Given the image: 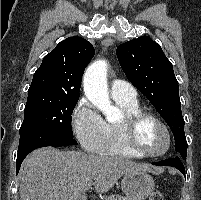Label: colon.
<instances>
[{
	"label": "colon",
	"instance_id": "colon-1",
	"mask_svg": "<svg viewBox=\"0 0 201 200\" xmlns=\"http://www.w3.org/2000/svg\"><path fill=\"white\" fill-rule=\"evenodd\" d=\"M150 200H165V195L162 191H154L151 194Z\"/></svg>",
	"mask_w": 201,
	"mask_h": 200
}]
</instances>
